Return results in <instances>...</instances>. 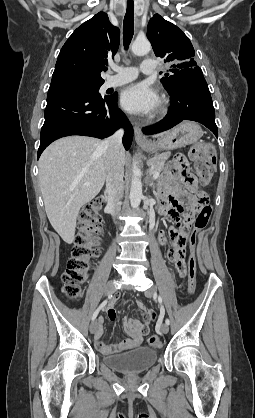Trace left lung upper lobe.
Returning a JSON list of instances; mask_svg holds the SVG:
<instances>
[{
  "mask_svg": "<svg viewBox=\"0 0 255 418\" xmlns=\"http://www.w3.org/2000/svg\"><path fill=\"white\" fill-rule=\"evenodd\" d=\"M147 38L157 57L170 65L160 81L168 93L184 79L202 74L194 60V48L189 38L177 26L155 14L148 23ZM161 74V73H160Z\"/></svg>",
  "mask_w": 255,
  "mask_h": 418,
  "instance_id": "obj_1",
  "label": "left lung upper lobe"
}]
</instances>
